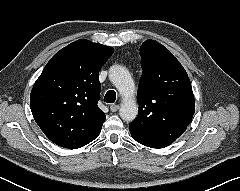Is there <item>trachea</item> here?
I'll use <instances>...</instances> for the list:
<instances>
[{"instance_id":"trachea-1","label":"trachea","mask_w":240,"mask_h":191,"mask_svg":"<svg viewBox=\"0 0 240 191\" xmlns=\"http://www.w3.org/2000/svg\"><path fill=\"white\" fill-rule=\"evenodd\" d=\"M116 100V93L113 90H109L104 97V102L106 103H114Z\"/></svg>"}]
</instances>
